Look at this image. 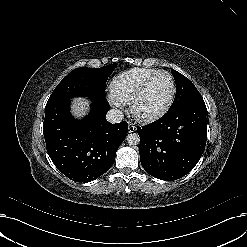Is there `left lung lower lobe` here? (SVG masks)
<instances>
[{
	"mask_svg": "<svg viewBox=\"0 0 247 247\" xmlns=\"http://www.w3.org/2000/svg\"><path fill=\"white\" fill-rule=\"evenodd\" d=\"M206 114V105L199 96L169 109L157 121L138 127L140 161L146 172L165 181L188 174L205 149Z\"/></svg>",
	"mask_w": 247,
	"mask_h": 247,
	"instance_id": "1",
	"label": "left lung lower lobe"
}]
</instances>
